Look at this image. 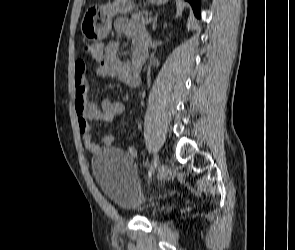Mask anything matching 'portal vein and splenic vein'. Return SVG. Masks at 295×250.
Listing matches in <instances>:
<instances>
[{
  "instance_id": "obj_1",
  "label": "portal vein and splenic vein",
  "mask_w": 295,
  "mask_h": 250,
  "mask_svg": "<svg viewBox=\"0 0 295 250\" xmlns=\"http://www.w3.org/2000/svg\"><path fill=\"white\" fill-rule=\"evenodd\" d=\"M152 21L151 17H147L146 19L143 20L144 24H149Z\"/></svg>"
}]
</instances>
